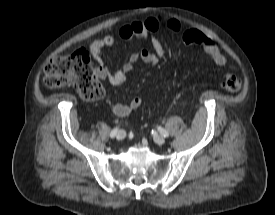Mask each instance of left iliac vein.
Segmentation results:
<instances>
[{
    "label": "left iliac vein",
    "instance_id": "4c4485c4",
    "mask_svg": "<svg viewBox=\"0 0 275 215\" xmlns=\"http://www.w3.org/2000/svg\"><path fill=\"white\" fill-rule=\"evenodd\" d=\"M154 141L158 145H163L165 143V138L163 136H160V135H155L154 136Z\"/></svg>",
    "mask_w": 275,
    "mask_h": 215
}]
</instances>
